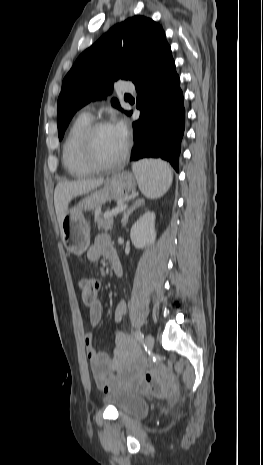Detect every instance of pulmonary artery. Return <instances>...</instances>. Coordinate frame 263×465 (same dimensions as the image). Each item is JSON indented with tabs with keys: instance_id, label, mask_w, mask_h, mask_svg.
<instances>
[{
	"instance_id": "e3ab8cb5",
	"label": "pulmonary artery",
	"mask_w": 263,
	"mask_h": 465,
	"mask_svg": "<svg viewBox=\"0 0 263 465\" xmlns=\"http://www.w3.org/2000/svg\"><path fill=\"white\" fill-rule=\"evenodd\" d=\"M120 89H121L122 92H132V91H134V87L132 85H129V84H123L120 87ZM93 110L94 109H93V107L91 105H87V106L84 107L83 114L91 117Z\"/></svg>"
}]
</instances>
